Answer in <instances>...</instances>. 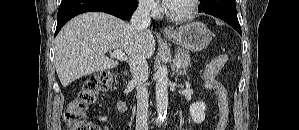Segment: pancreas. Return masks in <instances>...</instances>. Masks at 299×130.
<instances>
[{"mask_svg": "<svg viewBox=\"0 0 299 130\" xmlns=\"http://www.w3.org/2000/svg\"><path fill=\"white\" fill-rule=\"evenodd\" d=\"M176 57L177 60H179L181 63L180 68L184 69V71L188 68V66L191 65V57L188 51H185L183 49H177Z\"/></svg>", "mask_w": 299, "mask_h": 130, "instance_id": "pancreas-1", "label": "pancreas"}]
</instances>
